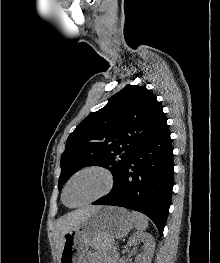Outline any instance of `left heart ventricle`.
Listing matches in <instances>:
<instances>
[{"instance_id": "b2bd125f", "label": "left heart ventricle", "mask_w": 220, "mask_h": 263, "mask_svg": "<svg viewBox=\"0 0 220 263\" xmlns=\"http://www.w3.org/2000/svg\"><path fill=\"white\" fill-rule=\"evenodd\" d=\"M105 187V178L97 172L77 176L69 185L65 200L69 205L80 203L100 193Z\"/></svg>"}]
</instances>
